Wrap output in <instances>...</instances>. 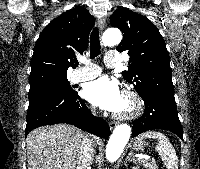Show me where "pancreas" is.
Instances as JSON below:
<instances>
[{"label":"pancreas","mask_w":200,"mask_h":169,"mask_svg":"<svg viewBox=\"0 0 200 169\" xmlns=\"http://www.w3.org/2000/svg\"><path fill=\"white\" fill-rule=\"evenodd\" d=\"M139 163L143 164L146 169H157V164L155 161L139 160Z\"/></svg>","instance_id":"cf45deb5"}]
</instances>
